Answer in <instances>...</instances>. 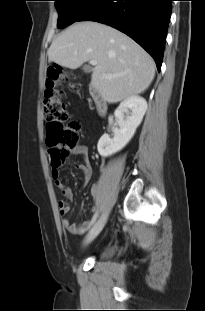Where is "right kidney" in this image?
I'll list each match as a JSON object with an SVG mask.
<instances>
[{
  "instance_id": "right-kidney-1",
  "label": "right kidney",
  "mask_w": 205,
  "mask_h": 311,
  "mask_svg": "<svg viewBox=\"0 0 205 311\" xmlns=\"http://www.w3.org/2000/svg\"><path fill=\"white\" fill-rule=\"evenodd\" d=\"M146 110L147 102L140 96H132L124 100L114 112L119 128L113 129V138L108 134L101 136L97 145L99 154L108 157L122 150L134 136Z\"/></svg>"
}]
</instances>
